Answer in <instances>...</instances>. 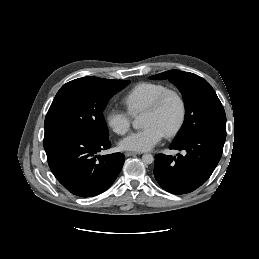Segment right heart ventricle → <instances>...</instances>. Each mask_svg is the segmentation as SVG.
Returning <instances> with one entry per match:
<instances>
[{
	"mask_svg": "<svg viewBox=\"0 0 259 259\" xmlns=\"http://www.w3.org/2000/svg\"><path fill=\"white\" fill-rule=\"evenodd\" d=\"M168 87L156 82H142L134 86L124 97V103L132 115L150 107Z\"/></svg>",
	"mask_w": 259,
	"mask_h": 259,
	"instance_id": "right-heart-ventricle-1",
	"label": "right heart ventricle"
}]
</instances>
